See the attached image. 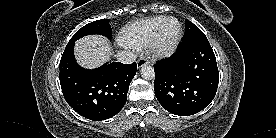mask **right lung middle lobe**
I'll list each match as a JSON object with an SVG mask.
<instances>
[{"label":"right lung middle lobe","instance_id":"right-lung-middle-lobe-1","mask_svg":"<svg viewBox=\"0 0 276 138\" xmlns=\"http://www.w3.org/2000/svg\"><path fill=\"white\" fill-rule=\"evenodd\" d=\"M90 34H101L110 39L112 34L109 19L97 20L83 26L74 34L69 42H75L79 38Z\"/></svg>","mask_w":276,"mask_h":138}]
</instances>
